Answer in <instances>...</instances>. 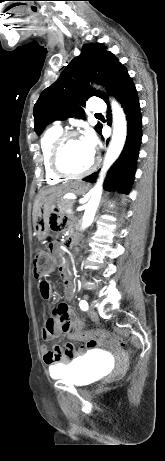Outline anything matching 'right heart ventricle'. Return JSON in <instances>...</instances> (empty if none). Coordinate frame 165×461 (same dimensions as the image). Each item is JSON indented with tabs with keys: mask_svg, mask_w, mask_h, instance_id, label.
Instances as JSON below:
<instances>
[{
	"mask_svg": "<svg viewBox=\"0 0 165 461\" xmlns=\"http://www.w3.org/2000/svg\"><path fill=\"white\" fill-rule=\"evenodd\" d=\"M61 133H62V130L60 127L58 126L51 127L43 134L40 140V151H41L42 160H43L45 177L49 183H53V184L60 182L62 177L57 176L50 169L49 153H50V149H51L53 142Z\"/></svg>",
	"mask_w": 165,
	"mask_h": 461,
	"instance_id": "obj_1",
	"label": "right heart ventricle"
}]
</instances>
